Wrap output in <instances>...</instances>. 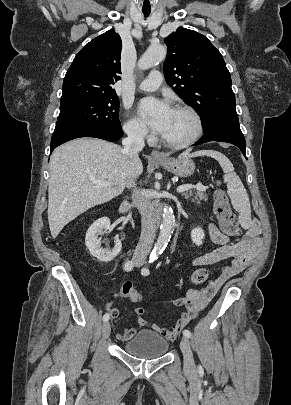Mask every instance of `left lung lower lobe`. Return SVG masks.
<instances>
[{
    "label": "left lung lower lobe",
    "mask_w": 291,
    "mask_h": 405,
    "mask_svg": "<svg viewBox=\"0 0 291 405\" xmlns=\"http://www.w3.org/2000/svg\"><path fill=\"white\" fill-rule=\"evenodd\" d=\"M210 141L228 142L234 144L240 148L241 152L246 157V142L239 124L222 123L217 125L194 145H200Z\"/></svg>",
    "instance_id": "1"
}]
</instances>
